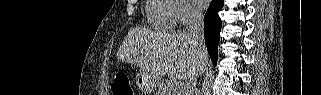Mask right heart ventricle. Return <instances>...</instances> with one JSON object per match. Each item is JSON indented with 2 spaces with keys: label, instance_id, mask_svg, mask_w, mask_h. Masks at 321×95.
I'll return each mask as SVG.
<instances>
[{
  "label": "right heart ventricle",
  "instance_id": "e07e8e85",
  "mask_svg": "<svg viewBox=\"0 0 321 95\" xmlns=\"http://www.w3.org/2000/svg\"><path fill=\"white\" fill-rule=\"evenodd\" d=\"M146 15L148 24L155 30L170 31L175 22L164 1L152 0L147 2Z\"/></svg>",
  "mask_w": 321,
  "mask_h": 95
}]
</instances>
